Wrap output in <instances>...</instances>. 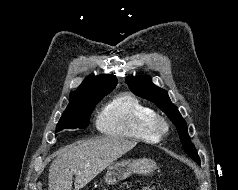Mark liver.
<instances>
[{
	"mask_svg": "<svg viewBox=\"0 0 238 190\" xmlns=\"http://www.w3.org/2000/svg\"><path fill=\"white\" fill-rule=\"evenodd\" d=\"M136 141L119 137H102L71 144L57 154L49 169V190H79L106 167L133 149Z\"/></svg>",
	"mask_w": 238,
	"mask_h": 190,
	"instance_id": "1",
	"label": "liver"
}]
</instances>
